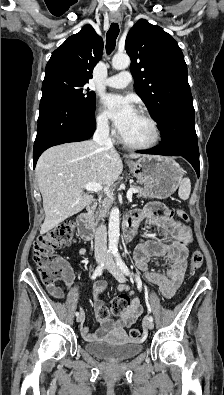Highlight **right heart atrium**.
<instances>
[{"label": "right heart atrium", "mask_w": 224, "mask_h": 395, "mask_svg": "<svg viewBox=\"0 0 224 395\" xmlns=\"http://www.w3.org/2000/svg\"><path fill=\"white\" fill-rule=\"evenodd\" d=\"M95 125L97 129L102 133H110L111 125L107 115L101 110L98 109L95 114Z\"/></svg>", "instance_id": "1"}]
</instances>
